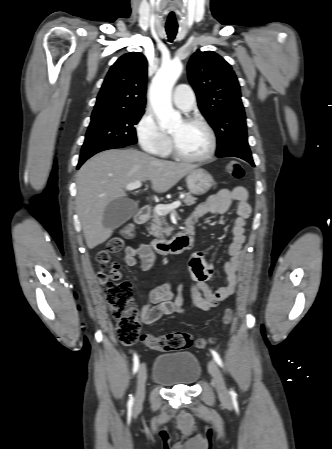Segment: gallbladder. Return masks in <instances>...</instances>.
I'll list each match as a JSON object with an SVG mask.
<instances>
[{
  "instance_id": "gallbladder-1",
  "label": "gallbladder",
  "mask_w": 332,
  "mask_h": 449,
  "mask_svg": "<svg viewBox=\"0 0 332 449\" xmlns=\"http://www.w3.org/2000/svg\"><path fill=\"white\" fill-rule=\"evenodd\" d=\"M138 210V204L128 198H118L110 202L103 214L105 227L117 228L128 221Z\"/></svg>"
}]
</instances>
